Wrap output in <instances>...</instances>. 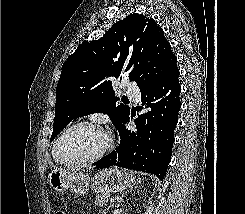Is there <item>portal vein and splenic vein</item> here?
Segmentation results:
<instances>
[{
    "mask_svg": "<svg viewBox=\"0 0 245 214\" xmlns=\"http://www.w3.org/2000/svg\"><path fill=\"white\" fill-rule=\"evenodd\" d=\"M109 201H110L111 203H113V202H114V199H113V198H110Z\"/></svg>",
    "mask_w": 245,
    "mask_h": 214,
    "instance_id": "18ae733b",
    "label": "portal vein and splenic vein"
}]
</instances>
